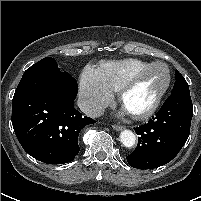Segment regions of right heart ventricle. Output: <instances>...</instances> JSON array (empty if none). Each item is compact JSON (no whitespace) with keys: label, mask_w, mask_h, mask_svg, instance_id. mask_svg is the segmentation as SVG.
I'll return each instance as SVG.
<instances>
[{"label":"right heart ventricle","mask_w":201,"mask_h":201,"mask_svg":"<svg viewBox=\"0 0 201 201\" xmlns=\"http://www.w3.org/2000/svg\"><path fill=\"white\" fill-rule=\"evenodd\" d=\"M150 64V62L129 58L102 63L97 70L104 83L112 91L118 92L127 79Z\"/></svg>","instance_id":"1"}]
</instances>
